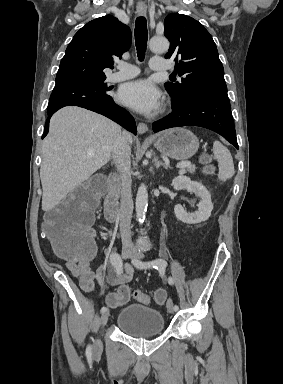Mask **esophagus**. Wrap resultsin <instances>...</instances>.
Returning <instances> with one entry per match:
<instances>
[{
    "mask_svg": "<svg viewBox=\"0 0 283 384\" xmlns=\"http://www.w3.org/2000/svg\"><path fill=\"white\" fill-rule=\"evenodd\" d=\"M137 13L138 15H141V17H145L146 6H137ZM137 131L139 134H145L148 131V127L143 122H140L137 126Z\"/></svg>",
    "mask_w": 283,
    "mask_h": 384,
    "instance_id": "obj_1",
    "label": "esophagus"
}]
</instances>
